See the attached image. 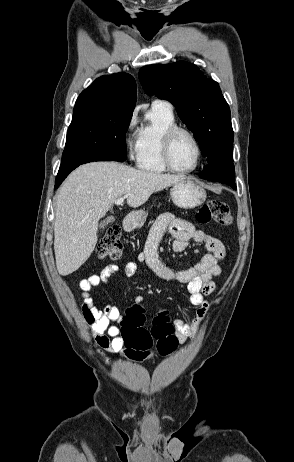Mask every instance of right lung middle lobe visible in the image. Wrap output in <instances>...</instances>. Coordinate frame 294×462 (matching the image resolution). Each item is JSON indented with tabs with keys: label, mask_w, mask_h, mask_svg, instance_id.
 Wrapping results in <instances>:
<instances>
[{
	"label": "right lung middle lobe",
	"mask_w": 294,
	"mask_h": 462,
	"mask_svg": "<svg viewBox=\"0 0 294 462\" xmlns=\"http://www.w3.org/2000/svg\"><path fill=\"white\" fill-rule=\"evenodd\" d=\"M132 113L74 110L60 169L93 161H125V133Z\"/></svg>",
	"instance_id": "obj_1"
}]
</instances>
